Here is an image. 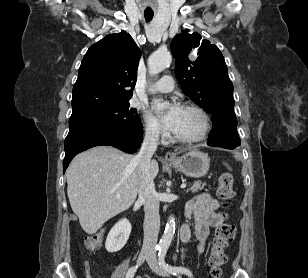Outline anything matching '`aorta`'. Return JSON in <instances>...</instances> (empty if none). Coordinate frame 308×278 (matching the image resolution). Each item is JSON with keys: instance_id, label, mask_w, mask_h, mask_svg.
I'll return each instance as SVG.
<instances>
[{"instance_id": "obj_1", "label": "aorta", "mask_w": 308, "mask_h": 278, "mask_svg": "<svg viewBox=\"0 0 308 278\" xmlns=\"http://www.w3.org/2000/svg\"><path fill=\"white\" fill-rule=\"evenodd\" d=\"M172 61V56L167 51H157L148 60L149 73L156 75L167 68ZM175 233V218L170 216L165 227L164 234L159 242L160 250H167L170 246Z\"/></svg>"}]
</instances>
